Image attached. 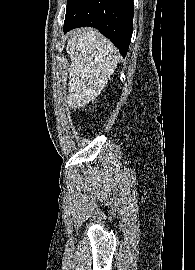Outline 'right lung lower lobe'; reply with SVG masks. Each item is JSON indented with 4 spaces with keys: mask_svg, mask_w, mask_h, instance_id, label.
<instances>
[{
    "mask_svg": "<svg viewBox=\"0 0 195 270\" xmlns=\"http://www.w3.org/2000/svg\"><path fill=\"white\" fill-rule=\"evenodd\" d=\"M133 0H73L66 10L64 32L90 26L109 38L125 56L133 32Z\"/></svg>",
    "mask_w": 195,
    "mask_h": 270,
    "instance_id": "98d812e1",
    "label": "right lung lower lobe"
}]
</instances>
